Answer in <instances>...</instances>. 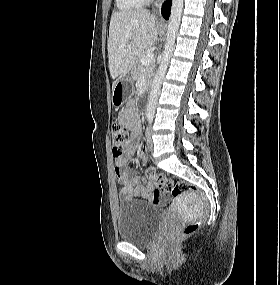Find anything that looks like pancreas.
<instances>
[{"mask_svg":"<svg viewBox=\"0 0 280 285\" xmlns=\"http://www.w3.org/2000/svg\"><path fill=\"white\" fill-rule=\"evenodd\" d=\"M143 56L145 55L141 54L137 57L132 69V74L135 80L140 79V77L144 75L146 78V86L148 87L154 74L155 65L153 63H150L149 65H143L141 63Z\"/></svg>","mask_w":280,"mask_h":285,"instance_id":"cf45deb5","label":"pancreas"}]
</instances>
